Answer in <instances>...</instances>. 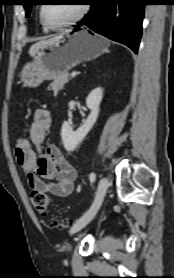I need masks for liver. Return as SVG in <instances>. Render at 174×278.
Masks as SVG:
<instances>
[{"instance_id":"liver-1","label":"liver","mask_w":174,"mask_h":278,"mask_svg":"<svg viewBox=\"0 0 174 278\" xmlns=\"http://www.w3.org/2000/svg\"><path fill=\"white\" fill-rule=\"evenodd\" d=\"M57 37L51 38V39H47V40H43V41H39L35 44H33L30 49H29V54L33 55L39 48H41L44 45L49 44L50 42L54 41Z\"/></svg>"}]
</instances>
